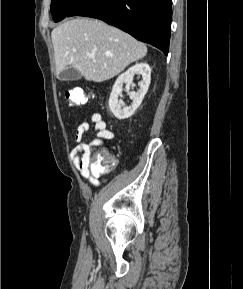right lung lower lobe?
Returning a JSON list of instances; mask_svg holds the SVG:
<instances>
[{
  "label": "right lung lower lobe",
  "mask_w": 243,
  "mask_h": 289,
  "mask_svg": "<svg viewBox=\"0 0 243 289\" xmlns=\"http://www.w3.org/2000/svg\"><path fill=\"white\" fill-rule=\"evenodd\" d=\"M71 16L103 20L168 54L171 0H85Z\"/></svg>",
  "instance_id": "obj_1"
}]
</instances>
